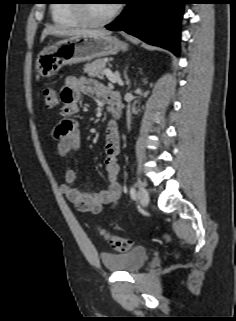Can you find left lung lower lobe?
Here are the masks:
<instances>
[{"label": "left lung lower lobe", "mask_w": 236, "mask_h": 321, "mask_svg": "<svg viewBox=\"0 0 236 321\" xmlns=\"http://www.w3.org/2000/svg\"><path fill=\"white\" fill-rule=\"evenodd\" d=\"M122 14L106 28L123 30L179 56L183 0H127Z\"/></svg>", "instance_id": "left-lung-lower-lobe-1"}]
</instances>
